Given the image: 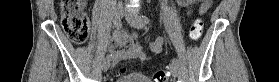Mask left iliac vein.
I'll return each instance as SVG.
<instances>
[{"instance_id":"obj_1","label":"left iliac vein","mask_w":279,"mask_h":82,"mask_svg":"<svg viewBox=\"0 0 279 82\" xmlns=\"http://www.w3.org/2000/svg\"><path fill=\"white\" fill-rule=\"evenodd\" d=\"M125 17L127 22L134 28L141 29L144 27L145 23L141 21L139 15L136 12H127ZM170 73L176 78L180 77L179 67L175 63L170 65Z\"/></svg>"}]
</instances>
